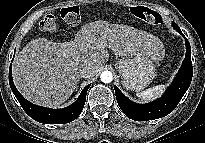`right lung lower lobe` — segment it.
Returning a JSON list of instances; mask_svg holds the SVG:
<instances>
[{
    "label": "right lung lower lobe",
    "mask_w": 205,
    "mask_h": 143,
    "mask_svg": "<svg viewBox=\"0 0 205 143\" xmlns=\"http://www.w3.org/2000/svg\"><path fill=\"white\" fill-rule=\"evenodd\" d=\"M11 65L9 68V84L11 90L19 101L22 108L24 109V111L31 118L44 124H65L75 120L81 114L86 101V94L90 87V84L83 89L78 99L72 105L63 109H49L34 105L24 99V97L18 92L13 83Z\"/></svg>",
    "instance_id": "right-lung-lower-lobe-1"
}]
</instances>
